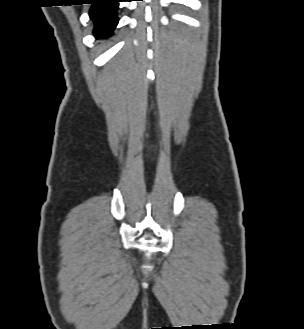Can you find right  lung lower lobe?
Here are the masks:
<instances>
[{
    "label": "right lung lower lobe",
    "instance_id": "obj_1",
    "mask_svg": "<svg viewBox=\"0 0 304 329\" xmlns=\"http://www.w3.org/2000/svg\"><path fill=\"white\" fill-rule=\"evenodd\" d=\"M120 0H92L89 15L94 22V35L97 39L112 35L118 24L117 10Z\"/></svg>",
    "mask_w": 304,
    "mask_h": 329
}]
</instances>
